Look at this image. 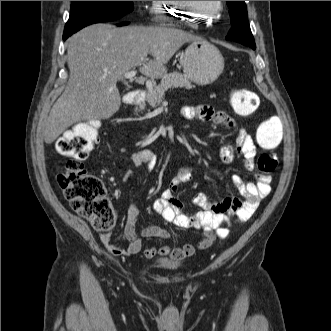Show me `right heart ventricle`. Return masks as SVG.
Here are the masks:
<instances>
[{
  "mask_svg": "<svg viewBox=\"0 0 331 331\" xmlns=\"http://www.w3.org/2000/svg\"><path fill=\"white\" fill-rule=\"evenodd\" d=\"M179 1H153L152 12L154 20L159 23L174 24L181 19L180 16H187L189 13L179 9ZM196 21H192L195 24Z\"/></svg>",
  "mask_w": 331,
  "mask_h": 331,
  "instance_id": "e07e8e85",
  "label": "right heart ventricle"
}]
</instances>
